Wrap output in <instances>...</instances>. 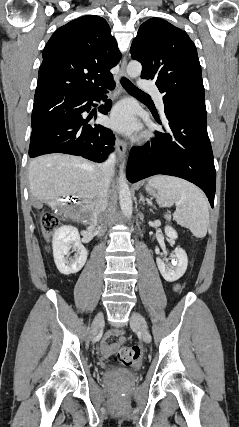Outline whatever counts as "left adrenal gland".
<instances>
[{"label":"left adrenal gland","mask_w":239,"mask_h":427,"mask_svg":"<svg viewBox=\"0 0 239 427\" xmlns=\"http://www.w3.org/2000/svg\"><path fill=\"white\" fill-rule=\"evenodd\" d=\"M139 197H140V198H139V203H141V202H142L143 204H145V202H146V201H145L144 196H143V194H142V193H140V194H139Z\"/></svg>","instance_id":"obj_1"}]
</instances>
